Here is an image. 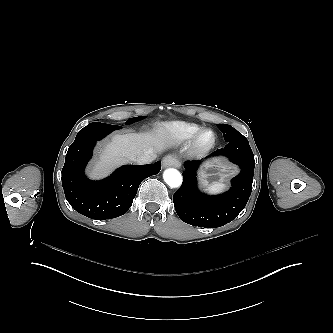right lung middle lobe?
Returning <instances> with one entry per match:
<instances>
[{
  "label": "right lung middle lobe",
  "instance_id": "1",
  "mask_svg": "<svg viewBox=\"0 0 333 333\" xmlns=\"http://www.w3.org/2000/svg\"><path fill=\"white\" fill-rule=\"evenodd\" d=\"M144 118H145L144 116L130 118V119L126 122V124H132V123L137 122V121H140V120H142V119H144Z\"/></svg>",
  "mask_w": 333,
  "mask_h": 333
}]
</instances>
